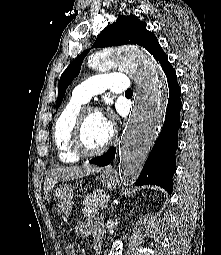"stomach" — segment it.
<instances>
[{"mask_svg": "<svg viewBox=\"0 0 221 255\" xmlns=\"http://www.w3.org/2000/svg\"><path fill=\"white\" fill-rule=\"evenodd\" d=\"M100 179L108 189H115L119 184L117 177L112 173H103ZM53 195L59 214L62 215L64 220H67L74 205L72 188L67 184H61L54 190Z\"/></svg>", "mask_w": 221, "mask_h": 255, "instance_id": "0dacf381", "label": "stomach"}]
</instances>
